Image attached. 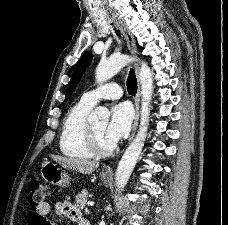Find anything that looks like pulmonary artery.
<instances>
[{"instance_id":"e3ab8cb5","label":"pulmonary artery","mask_w":228,"mask_h":225,"mask_svg":"<svg viewBox=\"0 0 228 225\" xmlns=\"http://www.w3.org/2000/svg\"><path fill=\"white\" fill-rule=\"evenodd\" d=\"M122 96V90L118 85H100L99 89L83 93L81 100L94 106L102 99L115 100Z\"/></svg>"}]
</instances>
